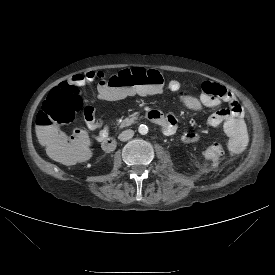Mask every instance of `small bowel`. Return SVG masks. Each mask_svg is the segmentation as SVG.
Here are the masks:
<instances>
[{"label":"small bowel","mask_w":275,"mask_h":275,"mask_svg":"<svg viewBox=\"0 0 275 275\" xmlns=\"http://www.w3.org/2000/svg\"><path fill=\"white\" fill-rule=\"evenodd\" d=\"M100 76H102L101 73L94 72L76 74L68 82L83 87ZM167 86L169 90L179 92L182 103L192 111L199 112L207 108H215L224 103L223 109L213 111L207 116V124L212 127L223 126L228 136V148L231 153L238 154L246 147L248 133L243 111L232 92L222 85L212 83L209 80L201 82L200 89L202 93L199 96L182 92V84L176 79L169 80ZM153 112L154 114L151 115V119H153L155 125L161 127L164 134L173 135L177 131V118L173 114H164L158 111ZM85 123L90 130L100 129L97 134L90 135L91 140L101 142L107 137V129L103 127L100 120L96 119L94 112L85 118ZM75 133L83 135V132L80 130L75 131ZM198 138V135L194 133L182 136V139L187 142L197 141ZM224 154L225 149L222 144L217 141H210L203 149L201 158L205 164L215 166L220 163Z\"/></svg>","instance_id":"c3829d8e"}]
</instances>
